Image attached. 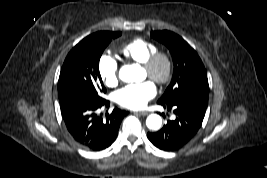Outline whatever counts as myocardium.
<instances>
[{"mask_svg":"<svg viewBox=\"0 0 267 178\" xmlns=\"http://www.w3.org/2000/svg\"><path fill=\"white\" fill-rule=\"evenodd\" d=\"M160 65L163 66V72L157 75L156 70ZM142 66L148 77L159 85L166 84L172 77L173 60L171 55L165 51L156 50L142 63Z\"/></svg>","mask_w":267,"mask_h":178,"instance_id":"obj_1","label":"myocardium"}]
</instances>
